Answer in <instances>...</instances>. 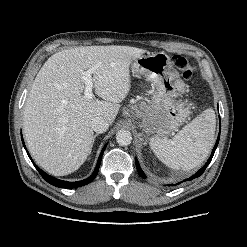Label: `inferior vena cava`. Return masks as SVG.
Instances as JSON below:
<instances>
[{"label":"inferior vena cava","instance_id":"602c4592","mask_svg":"<svg viewBox=\"0 0 247 247\" xmlns=\"http://www.w3.org/2000/svg\"><path fill=\"white\" fill-rule=\"evenodd\" d=\"M108 127H109V122L103 117H95L92 120L91 128L96 133H103L108 129Z\"/></svg>","mask_w":247,"mask_h":247}]
</instances>
